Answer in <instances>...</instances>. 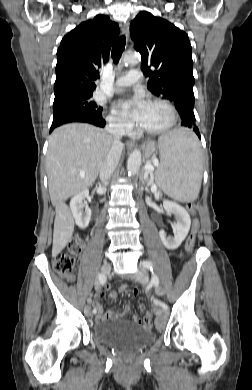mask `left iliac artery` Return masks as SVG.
<instances>
[{
	"mask_svg": "<svg viewBox=\"0 0 252 390\" xmlns=\"http://www.w3.org/2000/svg\"><path fill=\"white\" fill-rule=\"evenodd\" d=\"M143 267L149 269L152 272V283L157 287L159 285V278L158 276L153 272V264L149 260L143 261ZM154 303L156 305L161 306L164 310L168 309V306L166 303L160 301V300H154Z\"/></svg>",
	"mask_w": 252,
	"mask_h": 390,
	"instance_id": "44dca946",
	"label": "left iliac artery"
}]
</instances>
